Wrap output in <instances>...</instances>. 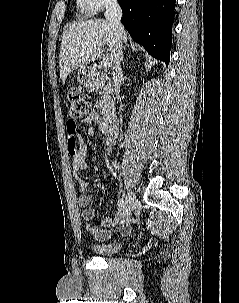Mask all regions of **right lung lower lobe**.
<instances>
[{
	"label": "right lung lower lobe",
	"mask_w": 239,
	"mask_h": 303,
	"mask_svg": "<svg viewBox=\"0 0 239 303\" xmlns=\"http://www.w3.org/2000/svg\"><path fill=\"white\" fill-rule=\"evenodd\" d=\"M121 23L154 58L169 64L175 0H118Z\"/></svg>",
	"instance_id": "1"
}]
</instances>
